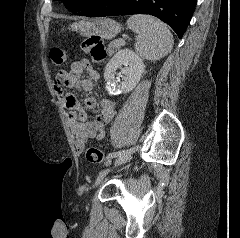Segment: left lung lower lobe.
Segmentation results:
<instances>
[{
	"label": "left lung lower lobe",
	"instance_id": "obj_1",
	"mask_svg": "<svg viewBox=\"0 0 240 238\" xmlns=\"http://www.w3.org/2000/svg\"><path fill=\"white\" fill-rule=\"evenodd\" d=\"M195 5L196 0H93L77 15L103 17L149 14L166 22L182 38Z\"/></svg>",
	"mask_w": 240,
	"mask_h": 238
}]
</instances>
